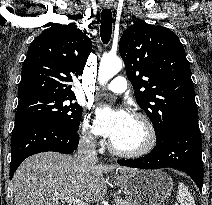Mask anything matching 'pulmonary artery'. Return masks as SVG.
<instances>
[{"mask_svg": "<svg viewBox=\"0 0 212 205\" xmlns=\"http://www.w3.org/2000/svg\"><path fill=\"white\" fill-rule=\"evenodd\" d=\"M127 89V81L122 76L115 77L103 90L113 93H123Z\"/></svg>", "mask_w": 212, "mask_h": 205, "instance_id": "e3ab8cb5", "label": "pulmonary artery"}]
</instances>
